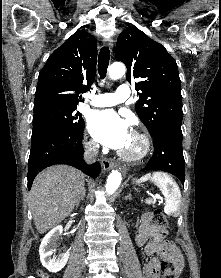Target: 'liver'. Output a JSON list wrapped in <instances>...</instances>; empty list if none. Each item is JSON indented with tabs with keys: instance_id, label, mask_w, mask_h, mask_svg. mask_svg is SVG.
<instances>
[{
	"instance_id": "liver-1",
	"label": "liver",
	"mask_w": 221,
	"mask_h": 278,
	"mask_svg": "<svg viewBox=\"0 0 221 278\" xmlns=\"http://www.w3.org/2000/svg\"><path fill=\"white\" fill-rule=\"evenodd\" d=\"M85 178L81 171L54 165L35 178L29 205L37 231L42 234L71 214L82 195Z\"/></svg>"
}]
</instances>
